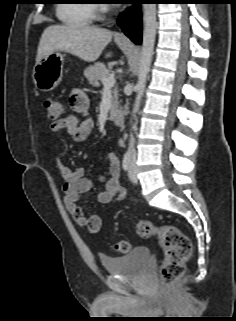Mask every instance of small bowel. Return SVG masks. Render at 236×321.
Returning a JSON list of instances; mask_svg holds the SVG:
<instances>
[{"instance_id": "small-bowel-1", "label": "small bowel", "mask_w": 236, "mask_h": 321, "mask_svg": "<svg viewBox=\"0 0 236 321\" xmlns=\"http://www.w3.org/2000/svg\"><path fill=\"white\" fill-rule=\"evenodd\" d=\"M69 103L73 113L53 121L51 129L55 133L64 131L74 141L82 142L90 136L94 126L92 119L87 116L89 98L83 91L75 90L69 96ZM56 160L63 180L62 190L67 211L78 225L86 227L90 232L99 231L103 218L96 214L87 215L79 205L81 195L93 187L94 181L84 177L82 168L71 169L59 156ZM106 165L108 176L98 178L104 185V189L98 194V201L101 203H109L114 199L121 201L126 197V191L120 183L118 155L114 152L108 153Z\"/></svg>"}]
</instances>
